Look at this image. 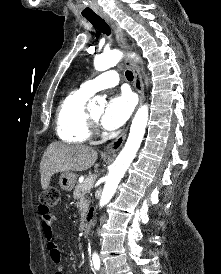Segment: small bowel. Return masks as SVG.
<instances>
[{
  "label": "small bowel",
  "mask_w": 221,
  "mask_h": 274,
  "mask_svg": "<svg viewBox=\"0 0 221 274\" xmlns=\"http://www.w3.org/2000/svg\"><path fill=\"white\" fill-rule=\"evenodd\" d=\"M38 212L40 215L41 230L45 239L46 248L51 260L57 265L55 274H64L63 267L60 265L62 254L53 235V223L56 217L50 211V208L42 203L38 207Z\"/></svg>",
  "instance_id": "c3829d8e"
}]
</instances>
